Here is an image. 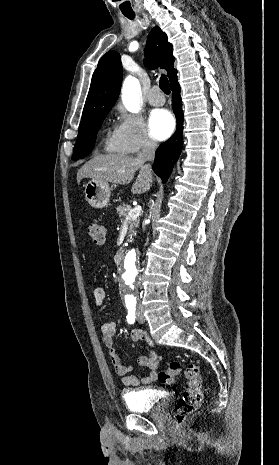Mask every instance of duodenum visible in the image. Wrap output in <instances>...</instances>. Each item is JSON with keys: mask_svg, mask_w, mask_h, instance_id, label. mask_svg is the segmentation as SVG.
<instances>
[{"mask_svg": "<svg viewBox=\"0 0 279 465\" xmlns=\"http://www.w3.org/2000/svg\"><path fill=\"white\" fill-rule=\"evenodd\" d=\"M123 257H124V250L118 251L114 257L115 263L119 265L122 262Z\"/></svg>", "mask_w": 279, "mask_h": 465, "instance_id": "410a0bca", "label": "duodenum"}]
</instances>
